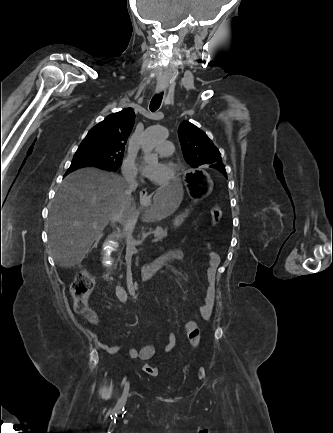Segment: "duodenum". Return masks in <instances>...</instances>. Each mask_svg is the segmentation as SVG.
I'll return each mask as SVG.
<instances>
[{
    "instance_id": "duodenum-1",
    "label": "duodenum",
    "mask_w": 333,
    "mask_h": 433,
    "mask_svg": "<svg viewBox=\"0 0 333 433\" xmlns=\"http://www.w3.org/2000/svg\"><path fill=\"white\" fill-rule=\"evenodd\" d=\"M169 256L159 257L150 264L143 266L140 270V277L142 280L150 279L162 266L164 262L169 260Z\"/></svg>"
}]
</instances>
